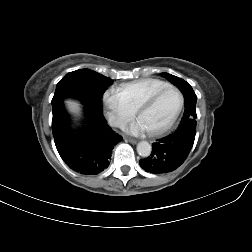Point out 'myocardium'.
I'll return each instance as SVG.
<instances>
[{
  "mask_svg": "<svg viewBox=\"0 0 252 252\" xmlns=\"http://www.w3.org/2000/svg\"><path fill=\"white\" fill-rule=\"evenodd\" d=\"M167 91H174L175 93H177V95L179 96V104L176 108V110L174 111V113L172 114V116L170 117V119L161 127L157 128V129H153V130H148V133L150 135H161L164 134L165 132H167L176 122L177 118L179 117L182 108L184 106V96L182 94V92L177 89L176 87L173 86H168L166 88H163L157 92H155L154 94H152L151 96H149L147 99H145L142 103L139 104V106L136 108V114L137 116H139V114L144 110L149 108L151 105L154 104V102L165 92Z\"/></svg>",
  "mask_w": 252,
  "mask_h": 252,
  "instance_id": "myocardium-1",
  "label": "myocardium"
}]
</instances>
